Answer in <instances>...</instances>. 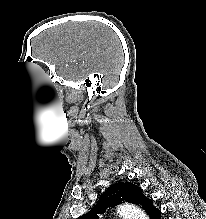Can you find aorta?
<instances>
[{
  "label": "aorta",
  "instance_id": "aorta-1",
  "mask_svg": "<svg viewBox=\"0 0 206 219\" xmlns=\"http://www.w3.org/2000/svg\"><path fill=\"white\" fill-rule=\"evenodd\" d=\"M117 212L123 217V219H148L141 209L132 204L120 205Z\"/></svg>",
  "mask_w": 206,
  "mask_h": 219
}]
</instances>
